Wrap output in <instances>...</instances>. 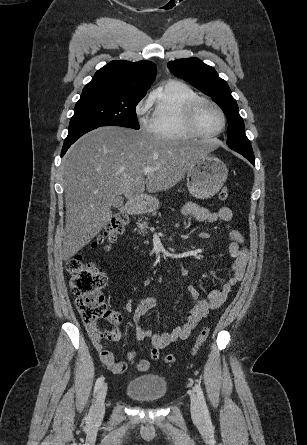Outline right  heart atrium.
Segmentation results:
<instances>
[{
    "mask_svg": "<svg viewBox=\"0 0 307 445\" xmlns=\"http://www.w3.org/2000/svg\"><path fill=\"white\" fill-rule=\"evenodd\" d=\"M138 120H139V123L141 124V125H144L145 124V118L141 115V116H139L138 117Z\"/></svg>",
    "mask_w": 307,
    "mask_h": 445,
    "instance_id": "obj_1",
    "label": "right heart atrium"
}]
</instances>
